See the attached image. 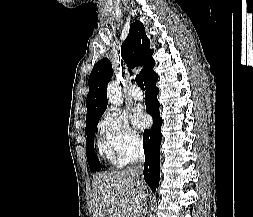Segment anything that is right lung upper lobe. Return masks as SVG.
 <instances>
[{
    "label": "right lung upper lobe",
    "instance_id": "cb5924a9",
    "mask_svg": "<svg viewBox=\"0 0 253 217\" xmlns=\"http://www.w3.org/2000/svg\"><path fill=\"white\" fill-rule=\"evenodd\" d=\"M153 49L149 47V39L143 24L136 20L130 26L129 34L121 46V56L128 67L143 66L140 76L145 80L153 73L155 61ZM112 65L107 58L95 64L89 76V93L87 95L86 122L101 117L107 107L106 88L112 77Z\"/></svg>",
    "mask_w": 253,
    "mask_h": 217
}]
</instances>
